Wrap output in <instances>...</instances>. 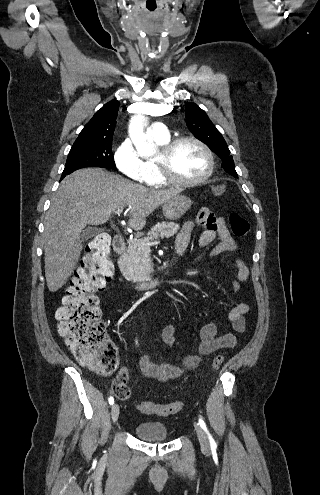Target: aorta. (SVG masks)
<instances>
[{"label": "aorta", "mask_w": 320, "mask_h": 495, "mask_svg": "<svg viewBox=\"0 0 320 495\" xmlns=\"http://www.w3.org/2000/svg\"><path fill=\"white\" fill-rule=\"evenodd\" d=\"M158 109L155 105L147 104L141 113L135 114L129 121V136L140 156H151L156 153L155 146L148 142L144 129L148 123V115L154 114Z\"/></svg>", "instance_id": "obj_1"}]
</instances>
